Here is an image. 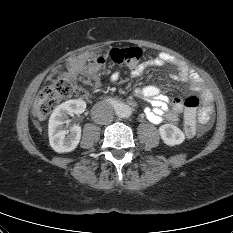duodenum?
<instances>
[{"label": "duodenum", "mask_w": 233, "mask_h": 233, "mask_svg": "<svg viewBox=\"0 0 233 233\" xmlns=\"http://www.w3.org/2000/svg\"><path fill=\"white\" fill-rule=\"evenodd\" d=\"M112 100L114 101L115 104H118V101H117V100H115V99H112Z\"/></svg>", "instance_id": "duodenum-1"}]
</instances>
